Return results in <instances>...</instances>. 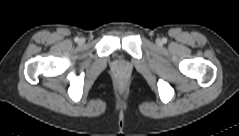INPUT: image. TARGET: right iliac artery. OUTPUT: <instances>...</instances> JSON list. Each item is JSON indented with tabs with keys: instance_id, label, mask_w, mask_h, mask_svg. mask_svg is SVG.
Segmentation results:
<instances>
[{
	"instance_id": "obj_1",
	"label": "right iliac artery",
	"mask_w": 239,
	"mask_h": 136,
	"mask_svg": "<svg viewBox=\"0 0 239 136\" xmlns=\"http://www.w3.org/2000/svg\"><path fill=\"white\" fill-rule=\"evenodd\" d=\"M74 40H75V42H78V41H79V38H78V37H76Z\"/></svg>"
}]
</instances>
